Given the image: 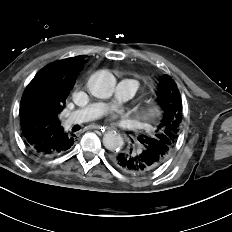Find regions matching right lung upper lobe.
Instances as JSON below:
<instances>
[{"label":"right lung upper lobe","mask_w":232,"mask_h":232,"mask_svg":"<svg viewBox=\"0 0 232 232\" xmlns=\"http://www.w3.org/2000/svg\"><path fill=\"white\" fill-rule=\"evenodd\" d=\"M84 57L81 55L59 60L41 69L23 93L20 118L31 117L41 134L45 129H59L61 124L58 114L64 109Z\"/></svg>","instance_id":"right-lung-upper-lobe-1"}]
</instances>
